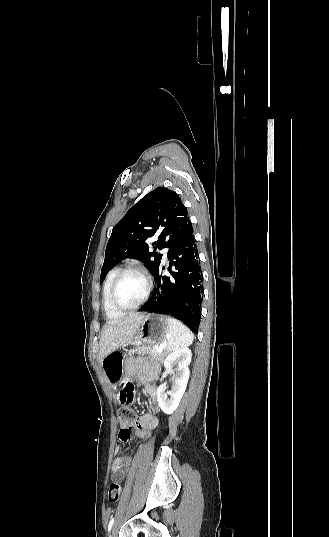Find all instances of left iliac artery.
Here are the masks:
<instances>
[{"label": "left iliac artery", "instance_id": "44dca946", "mask_svg": "<svg viewBox=\"0 0 329 537\" xmlns=\"http://www.w3.org/2000/svg\"><path fill=\"white\" fill-rule=\"evenodd\" d=\"M113 524H114V517H111L109 525H108V533L111 531Z\"/></svg>", "mask_w": 329, "mask_h": 537}]
</instances>
